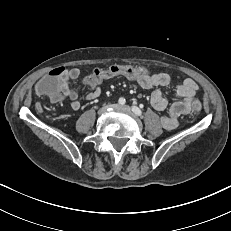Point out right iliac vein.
Here are the masks:
<instances>
[{"label":"right iliac vein","instance_id":"63e3f726","mask_svg":"<svg viewBox=\"0 0 231 231\" xmlns=\"http://www.w3.org/2000/svg\"><path fill=\"white\" fill-rule=\"evenodd\" d=\"M113 106L114 105H105V106L101 107L98 111V114L102 115V114L106 113L109 110V108H111Z\"/></svg>","mask_w":231,"mask_h":231}]
</instances>
